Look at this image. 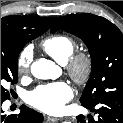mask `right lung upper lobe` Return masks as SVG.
Wrapping results in <instances>:
<instances>
[{
  "mask_svg": "<svg viewBox=\"0 0 123 123\" xmlns=\"http://www.w3.org/2000/svg\"><path fill=\"white\" fill-rule=\"evenodd\" d=\"M57 17L7 16L1 18V45L11 44L26 35L47 31Z\"/></svg>",
  "mask_w": 123,
  "mask_h": 123,
  "instance_id": "1",
  "label": "right lung upper lobe"
}]
</instances>
